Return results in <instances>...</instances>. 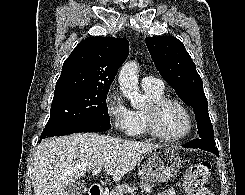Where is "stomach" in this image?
I'll return each mask as SVG.
<instances>
[{"label":"stomach","instance_id":"stomach-1","mask_svg":"<svg viewBox=\"0 0 245 195\" xmlns=\"http://www.w3.org/2000/svg\"><path fill=\"white\" fill-rule=\"evenodd\" d=\"M182 166L181 157L172 147L161 146L141 156L138 174L145 181L163 183L174 177Z\"/></svg>","mask_w":245,"mask_h":195}]
</instances>
